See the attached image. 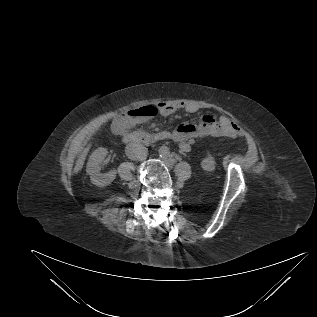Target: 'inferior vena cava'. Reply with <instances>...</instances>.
<instances>
[{
  "instance_id": "602c4592",
  "label": "inferior vena cava",
  "mask_w": 317,
  "mask_h": 317,
  "mask_svg": "<svg viewBox=\"0 0 317 317\" xmlns=\"http://www.w3.org/2000/svg\"><path fill=\"white\" fill-rule=\"evenodd\" d=\"M125 152L129 159L136 161L145 160L148 154L147 148L136 142L127 144Z\"/></svg>"
}]
</instances>
